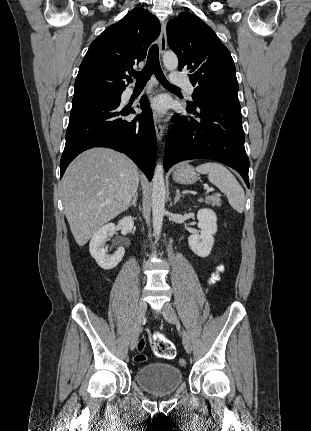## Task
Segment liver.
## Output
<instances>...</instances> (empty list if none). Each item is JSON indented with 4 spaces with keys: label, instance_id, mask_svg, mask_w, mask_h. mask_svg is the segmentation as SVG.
Wrapping results in <instances>:
<instances>
[{
    "label": "liver",
    "instance_id": "6515ba94",
    "mask_svg": "<svg viewBox=\"0 0 311 431\" xmlns=\"http://www.w3.org/2000/svg\"><path fill=\"white\" fill-rule=\"evenodd\" d=\"M139 186L136 164L109 148L87 150L68 166L62 180L65 216L78 245L129 206Z\"/></svg>",
    "mask_w": 311,
    "mask_h": 431
}]
</instances>
